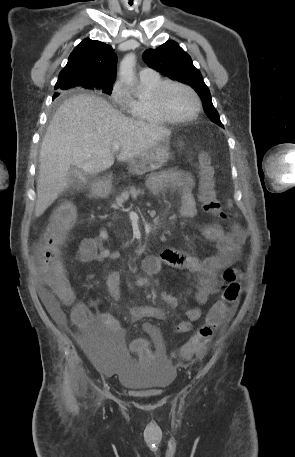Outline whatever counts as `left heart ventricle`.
Returning <instances> with one entry per match:
<instances>
[{"mask_svg": "<svg viewBox=\"0 0 295 457\" xmlns=\"http://www.w3.org/2000/svg\"><path fill=\"white\" fill-rule=\"evenodd\" d=\"M165 104L169 113L175 117L190 116L195 110L193 96L181 87L169 88L165 96Z\"/></svg>", "mask_w": 295, "mask_h": 457, "instance_id": "left-heart-ventricle-1", "label": "left heart ventricle"}]
</instances>
